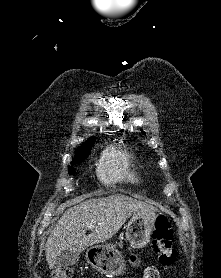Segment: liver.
Instances as JSON below:
<instances>
[{
	"label": "liver",
	"mask_w": 221,
	"mask_h": 278,
	"mask_svg": "<svg viewBox=\"0 0 221 278\" xmlns=\"http://www.w3.org/2000/svg\"><path fill=\"white\" fill-rule=\"evenodd\" d=\"M76 199L51 232L45 247L50 269L56 258L66 250L81 253L88 247L111 239L132 215L152 213L155 208L146 202L122 194L94 198L84 202ZM94 230L86 235L89 225Z\"/></svg>",
	"instance_id": "6515ba94"
}]
</instances>
